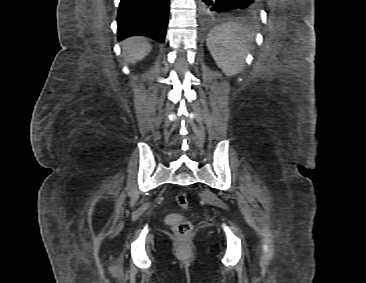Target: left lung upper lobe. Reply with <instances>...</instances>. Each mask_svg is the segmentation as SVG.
Listing matches in <instances>:
<instances>
[{"mask_svg": "<svg viewBox=\"0 0 366 283\" xmlns=\"http://www.w3.org/2000/svg\"><path fill=\"white\" fill-rule=\"evenodd\" d=\"M258 10H259V7L255 8L253 10H248L247 12H249V13H257Z\"/></svg>", "mask_w": 366, "mask_h": 283, "instance_id": "left-lung-upper-lobe-1", "label": "left lung upper lobe"}]
</instances>
